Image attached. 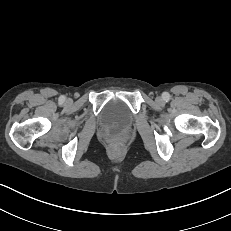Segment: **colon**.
Wrapping results in <instances>:
<instances>
[{"label": "colon", "instance_id": "obj_1", "mask_svg": "<svg viewBox=\"0 0 231 231\" xmlns=\"http://www.w3.org/2000/svg\"><path fill=\"white\" fill-rule=\"evenodd\" d=\"M121 146H122V143H121V141H119V140H114V141L112 142V148H113V149H119V148H121Z\"/></svg>", "mask_w": 231, "mask_h": 231}]
</instances>
